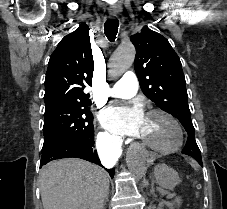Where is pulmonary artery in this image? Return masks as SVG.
<instances>
[{
  "mask_svg": "<svg viewBox=\"0 0 227 209\" xmlns=\"http://www.w3.org/2000/svg\"><path fill=\"white\" fill-rule=\"evenodd\" d=\"M136 73H123V79L118 81L112 88H109L108 96L116 98H128L136 94L138 83Z\"/></svg>",
  "mask_w": 227,
  "mask_h": 209,
  "instance_id": "e3ab8cb5",
  "label": "pulmonary artery"
}]
</instances>
